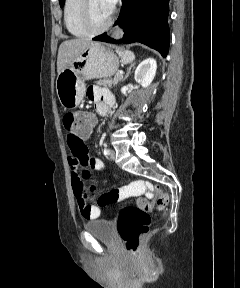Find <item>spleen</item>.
<instances>
[{
	"label": "spleen",
	"mask_w": 240,
	"mask_h": 288,
	"mask_svg": "<svg viewBox=\"0 0 240 288\" xmlns=\"http://www.w3.org/2000/svg\"><path fill=\"white\" fill-rule=\"evenodd\" d=\"M120 55L122 56V59L125 61V62H131L135 59V55L133 52L129 51V50H126L124 52H119Z\"/></svg>",
	"instance_id": "obj_1"
}]
</instances>
